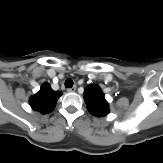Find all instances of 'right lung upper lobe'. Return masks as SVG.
<instances>
[{
    "label": "right lung upper lobe",
    "instance_id": "obj_1",
    "mask_svg": "<svg viewBox=\"0 0 163 163\" xmlns=\"http://www.w3.org/2000/svg\"><path fill=\"white\" fill-rule=\"evenodd\" d=\"M61 95L62 92L53 91L49 84L44 83L40 91L30 98V105L33 110L47 114L54 110L56 102Z\"/></svg>",
    "mask_w": 163,
    "mask_h": 163
}]
</instances>
